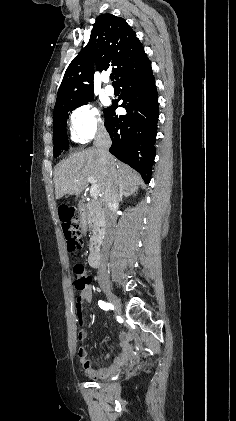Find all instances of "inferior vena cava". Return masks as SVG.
I'll return each instance as SVG.
<instances>
[{
  "label": "inferior vena cava",
  "mask_w": 236,
  "mask_h": 421,
  "mask_svg": "<svg viewBox=\"0 0 236 421\" xmlns=\"http://www.w3.org/2000/svg\"><path fill=\"white\" fill-rule=\"evenodd\" d=\"M112 144V140L109 136V132H107L104 126H99L96 136L94 138V146H96L99 154L100 160H102L103 164H107L109 166V170H111V178H116V170L110 166V158H112L109 148ZM122 190L119 188L117 184L112 182H108L105 192H104V227H105V237L103 241L102 253H101V267L99 269V273L104 271L107 265V255L106 251L109 249L112 239H113V231L115 227V211H118L119 208V198Z\"/></svg>",
  "instance_id": "1"
}]
</instances>
